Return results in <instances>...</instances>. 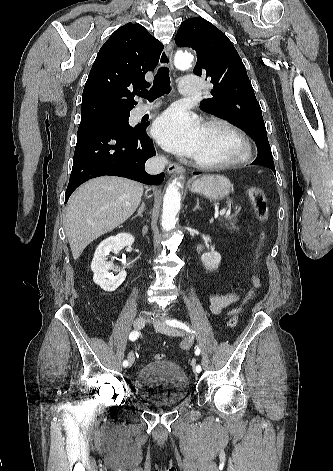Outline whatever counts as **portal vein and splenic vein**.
Here are the masks:
<instances>
[{
    "label": "portal vein and splenic vein",
    "instance_id": "1",
    "mask_svg": "<svg viewBox=\"0 0 333 471\" xmlns=\"http://www.w3.org/2000/svg\"><path fill=\"white\" fill-rule=\"evenodd\" d=\"M225 213H226V209L223 208V209L220 210V213H219V214L222 216V215H224Z\"/></svg>",
    "mask_w": 333,
    "mask_h": 471
}]
</instances>
